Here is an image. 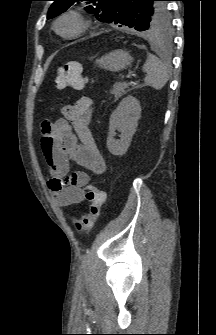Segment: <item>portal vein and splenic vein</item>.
Instances as JSON below:
<instances>
[{
	"instance_id": "obj_1",
	"label": "portal vein and splenic vein",
	"mask_w": 216,
	"mask_h": 335,
	"mask_svg": "<svg viewBox=\"0 0 216 335\" xmlns=\"http://www.w3.org/2000/svg\"><path fill=\"white\" fill-rule=\"evenodd\" d=\"M128 77H136V75H135V74H132V75H130V76H128Z\"/></svg>"
}]
</instances>
